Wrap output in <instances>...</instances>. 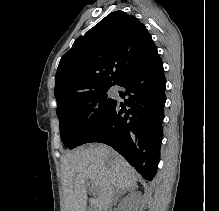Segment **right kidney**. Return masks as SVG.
<instances>
[{
    "instance_id": "ca27d5eb",
    "label": "right kidney",
    "mask_w": 219,
    "mask_h": 211,
    "mask_svg": "<svg viewBox=\"0 0 219 211\" xmlns=\"http://www.w3.org/2000/svg\"><path fill=\"white\" fill-rule=\"evenodd\" d=\"M135 195H137L136 199H131L130 203H134V205H135L134 211H137L138 201H140L141 197H140L138 191H135ZM130 203H129L128 207H130Z\"/></svg>"
}]
</instances>
